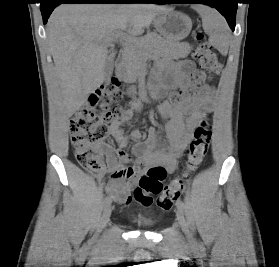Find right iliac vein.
Instances as JSON below:
<instances>
[{"mask_svg": "<svg viewBox=\"0 0 279 267\" xmlns=\"http://www.w3.org/2000/svg\"><path fill=\"white\" fill-rule=\"evenodd\" d=\"M110 216H111V207H110V205H108V206H106V208L102 214L95 237H97L99 235V233L102 231V229L106 226L107 222L110 219Z\"/></svg>", "mask_w": 279, "mask_h": 267, "instance_id": "right-iliac-vein-1", "label": "right iliac vein"}]
</instances>
